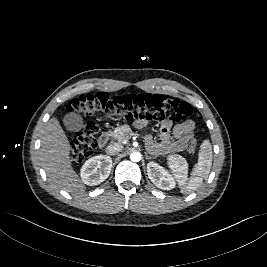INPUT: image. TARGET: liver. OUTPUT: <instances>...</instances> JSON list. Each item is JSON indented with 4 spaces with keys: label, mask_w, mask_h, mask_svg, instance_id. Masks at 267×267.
Wrapping results in <instances>:
<instances>
[{
    "label": "liver",
    "mask_w": 267,
    "mask_h": 267,
    "mask_svg": "<svg viewBox=\"0 0 267 267\" xmlns=\"http://www.w3.org/2000/svg\"><path fill=\"white\" fill-rule=\"evenodd\" d=\"M71 146L57 117L46 124L41 138L39 157L50 182L69 193L84 192L86 186L72 167Z\"/></svg>",
    "instance_id": "1"
}]
</instances>
